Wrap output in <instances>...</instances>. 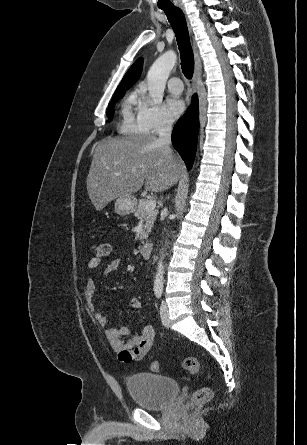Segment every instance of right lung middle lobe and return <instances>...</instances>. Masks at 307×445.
<instances>
[{
  "label": "right lung middle lobe",
  "instance_id": "dd1d6c3e",
  "mask_svg": "<svg viewBox=\"0 0 307 445\" xmlns=\"http://www.w3.org/2000/svg\"><path fill=\"white\" fill-rule=\"evenodd\" d=\"M116 101H117V100H116ZM116 101L111 102L110 105H109V107H108V110H107V116L110 118V120L113 119V113H112V111H113V108H114V105H115Z\"/></svg>",
  "mask_w": 307,
  "mask_h": 445
}]
</instances>
